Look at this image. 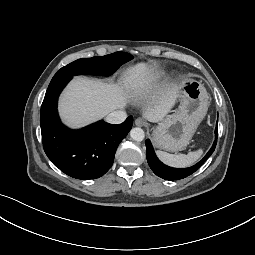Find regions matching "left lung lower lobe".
<instances>
[{
  "label": "left lung lower lobe",
  "mask_w": 255,
  "mask_h": 255,
  "mask_svg": "<svg viewBox=\"0 0 255 255\" xmlns=\"http://www.w3.org/2000/svg\"><path fill=\"white\" fill-rule=\"evenodd\" d=\"M217 137H218V123L216 124L215 129V141L209 150V152L205 155V157L199 161L194 166L188 167V168H172L169 166L164 165L162 162L159 161V159L156 157L155 152L153 150L152 144L149 139L146 140V156L147 161L152 169V171L159 177L165 179V180H179L183 179L191 174H193L195 171L198 170V168L211 156V154L214 152L216 143H217Z\"/></svg>",
  "instance_id": "0a47b994"
}]
</instances>
